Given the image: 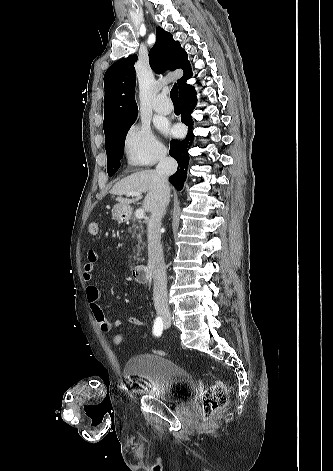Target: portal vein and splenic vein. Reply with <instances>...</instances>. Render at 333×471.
Masks as SVG:
<instances>
[{
  "mask_svg": "<svg viewBox=\"0 0 333 471\" xmlns=\"http://www.w3.org/2000/svg\"><path fill=\"white\" fill-rule=\"evenodd\" d=\"M127 196H139L140 192L137 191H130L126 193ZM135 217L138 219H142L145 217V210L144 209H137L135 212Z\"/></svg>",
  "mask_w": 333,
  "mask_h": 471,
  "instance_id": "1",
  "label": "portal vein and splenic vein"
}]
</instances>
